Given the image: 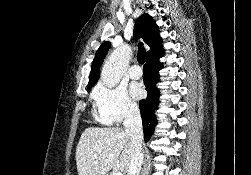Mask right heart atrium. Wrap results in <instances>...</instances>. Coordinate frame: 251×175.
<instances>
[{"mask_svg":"<svg viewBox=\"0 0 251 175\" xmlns=\"http://www.w3.org/2000/svg\"><path fill=\"white\" fill-rule=\"evenodd\" d=\"M93 104L96 118L104 124H119L138 113L137 104L122 85L99 82L94 89Z\"/></svg>","mask_w":251,"mask_h":175,"instance_id":"right-heart-atrium-1","label":"right heart atrium"}]
</instances>
